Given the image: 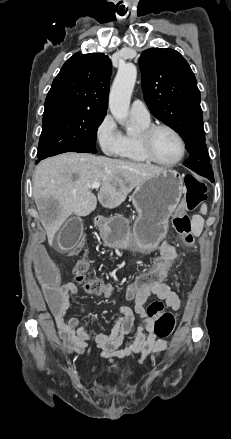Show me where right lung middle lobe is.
Instances as JSON below:
<instances>
[{
  "label": "right lung middle lobe",
  "mask_w": 231,
  "mask_h": 439,
  "mask_svg": "<svg viewBox=\"0 0 231 439\" xmlns=\"http://www.w3.org/2000/svg\"><path fill=\"white\" fill-rule=\"evenodd\" d=\"M106 114L65 112L43 117L37 157L65 152L97 153L96 132Z\"/></svg>",
  "instance_id": "dd1d6c3e"
}]
</instances>
